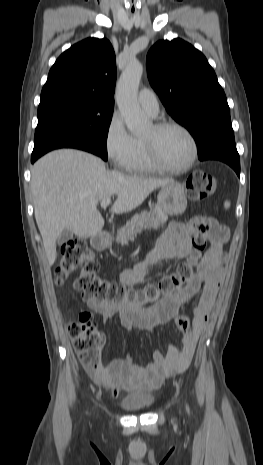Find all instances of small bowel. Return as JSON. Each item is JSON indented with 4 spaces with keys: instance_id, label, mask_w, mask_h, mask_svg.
Segmentation results:
<instances>
[{
    "instance_id": "c3829d8e",
    "label": "small bowel",
    "mask_w": 263,
    "mask_h": 465,
    "mask_svg": "<svg viewBox=\"0 0 263 465\" xmlns=\"http://www.w3.org/2000/svg\"><path fill=\"white\" fill-rule=\"evenodd\" d=\"M199 236L206 237L210 244L197 267L196 274L176 295L165 298L149 308L130 304L110 305L86 299L87 305L101 315L103 324L114 315H118L119 323L125 330L135 327L141 331L153 332L156 327L175 320L180 315L181 308L200 292L198 303L193 308V330L183 334L180 349L171 345L164 353L156 348L151 359L141 363L135 362L130 354L124 358H111L100 368L90 372L94 382L111 389L113 396H118L120 391L132 389H156L165 378L188 368L199 333L208 320L221 282V261L223 244L227 238L226 231L218 226L205 230L201 227L199 219H192L187 223L172 222L146 258L133 268L123 271L120 278L122 285L133 287L143 280L149 266L163 260L182 259L193 253L195 240Z\"/></svg>"
}]
</instances>
